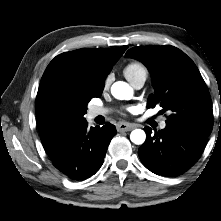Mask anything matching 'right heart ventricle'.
I'll return each mask as SVG.
<instances>
[{
	"mask_svg": "<svg viewBox=\"0 0 221 221\" xmlns=\"http://www.w3.org/2000/svg\"><path fill=\"white\" fill-rule=\"evenodd\" d=\"M124 74L126 78L131 81L132 79L146 74L145 68L139 63H130L124 69Z\"/></svg>",
	"mask_w": 221,
	"mask_h": 221,
	"instance_id": "e07e8e85",
	"label": "right heart ventricle"
}]
</instances>
